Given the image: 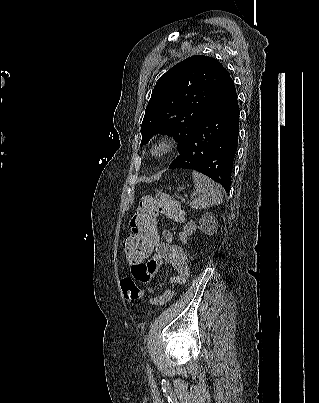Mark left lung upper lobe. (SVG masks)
Returning <instances> with one entry per match:
<instances>
[{"mask_svg":"<svg viewBox=\"0 0 319 403\" xmlns=\"http://www.w3.org/2000/svg\"><path fill=\"white\" fill-rule=\"evenodd\" d=\"M230 75L217 59L195 55L163 74L156 83L141 125L146 144L155 133L176 138L181 154L197 124Z\"/></svg>","mask_w":319,"mask_h":403,"instance_id":"left-lung-upper-lobe-1","label":"left lung upper lobe"}]
</instances>
